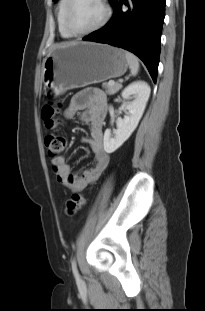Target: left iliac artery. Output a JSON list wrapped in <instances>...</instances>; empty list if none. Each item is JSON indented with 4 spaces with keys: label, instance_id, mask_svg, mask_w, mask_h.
Listing matches in <instances>:
<instances>
[{
    "label": "left iliac artery",
    "instance_id": "44dca946",
    "mask_svg": "<svg viewBox=\"0 0 205 311\" xmlns=\"http://www.w3.org/2000/svg\"><path fill=\"white\" fill-rule=\"evenodd\" d=\"M72 271H73V274H74V277L76 278V280L79 281L80 275H79L75 260L72 261Z\"/></svg>",
    "mask_w": 205,
    "mask_h": 311
}]
</instances>
